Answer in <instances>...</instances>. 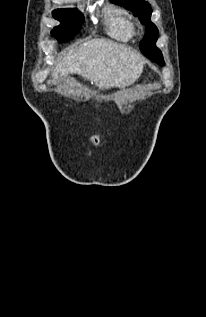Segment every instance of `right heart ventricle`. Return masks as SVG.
<instances>
[{"label":"right heart ventricle","instance_id":"e07e8e85","mask_svg":"<svg viewBox=\"0 0 206 317\" xmlns=\"http://www.w3.org/2000/svg\"><path fill=\"white\" fill-rule=\"evenodd\" d=\"M104 23L107 34L115 40L126 42L134 35L128 13L119 7L108 5L104 9Z\"/></svg>","mask_w":206,"mask_h":317}]
</instances>
